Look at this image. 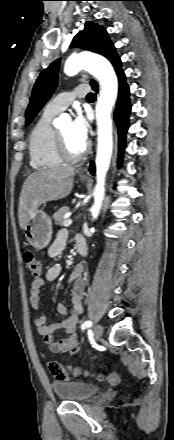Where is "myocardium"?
I'll list each match as a JSON object with an SVG mask.
<instances>
[{
  "instance_id": "f54148a6",
  "label": "myocardium",
  "mask_w": 174,
  "mask_h": 440,
  "mask_svg": "<svg viewBox=\"0 0 174 440\" xmlns=\"http://www.w3.org/2000/svg\"><path fill=\"white\" fill-rule=\"evenodd\" d=\"M56 144H57V150H58L59 155L61 156V158L63 160H66V161L80 160L81 158H83L87 154L88 149H89V145L85 144L83 149L79 153H72L68 149L66 141H65L62 133L59 130L56 131Z\"/></svg>"
}]
</instances>
